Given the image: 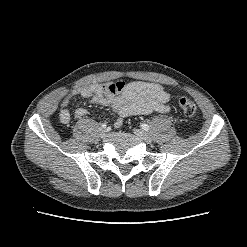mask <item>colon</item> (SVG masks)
Listing matches in <instances>:
<instances>
[{
  "label": "colon",
  "instance_id": "obj_1",
  "mask_svg": "<svg viewBox=\"0 0 247 247\" xmlns=\"http://www.w3.org/2000/svg\"><path fill=\"white\" fill-rule=\"evenodd\" d=\"M178 105L185 116L192 117L196 113L195 103L187 97H181L178 101Z\"/></svg>",
  "mask_w": 247,
  "mask_h": 247
}]
</instances>
